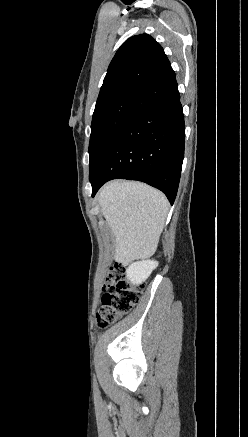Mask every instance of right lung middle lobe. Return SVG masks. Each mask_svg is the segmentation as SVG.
Returning a JSON list of instances; mask_svg holds the SVG:
<instances>
[{
	"instance_id": "right-lung-middle-lobe-1",
	"label": "right lung middle lobe",
	"mask_w": 248,
	"mask_h": 437,
	"mask_svg": "<svg viewBox=\"0 0 248 437\" xmlns=\"http://www.w3.org/2000/svg\"><path fill=\"white\" fill-rule=\"evenodd\" d=\"M139 93L138 91L122 93L95 108L89 143L90 169L103 147L122 123Z\"/></svg>"
}]
</instances>
